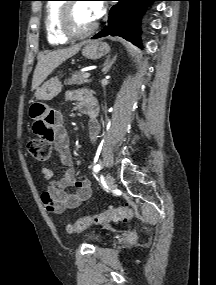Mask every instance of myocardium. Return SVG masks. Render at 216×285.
<instances>
[{
	"label": "myocardium",
	"instance_id": "1",
	"mask_svg": "<svg viewBox=\"0 0 216 285\" xmlns=\"http://www.w3.org/2000/svg\"><path fill=\"white\" fill-rule=\"evenodd\" d=\"M76 2H65L62 5L58 27L60 33L70 40L83 39L95 32L98 27V22H95L89 29L85 31H77L73 26V7Z\"/></svg>",
	"mask_w": 216,
	"mask_h": 285
}]
</instances>
